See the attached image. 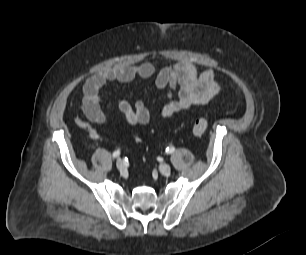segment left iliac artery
Returning <instances> with one entry per match:
<instances>
[{"label":"left iliac artery","instance_id":"obj_1","mask_svg":"<svg viewBox=\"0 0 306 255\" xmlns=\"http://www.w3.org/2000/svg\"><path fill=\"white\" fill-rule=\"evenodd\" d=\"M174 151H175V147H173V146L167 147L166 150H165V152H166L167 154H171V153H173Z\"/></svg>","mask_w":306,"mask_h":255}]
</instances>
